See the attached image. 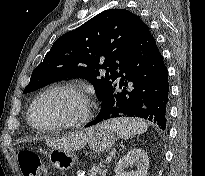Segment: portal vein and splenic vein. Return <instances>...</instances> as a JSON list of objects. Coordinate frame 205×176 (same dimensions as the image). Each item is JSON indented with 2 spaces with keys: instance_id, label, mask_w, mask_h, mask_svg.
Masks as SVG:
<instances>
[{
  "instance_id": "obj_1",
  "label": "portal vein and splenic vein",
  "mask_w": 205,
  "mask_h": 176,
  "mask_svg": "<svg viewBox=\"0 0 205 176\" xmlns=\"http://www.w3.org/2000/svg\"><path fill=\"white\" fill-rule=\"evenodd\" d=\"M106 161H107V163H110L112 161V156H108Z\"/></svg>"
}]
</instances>
